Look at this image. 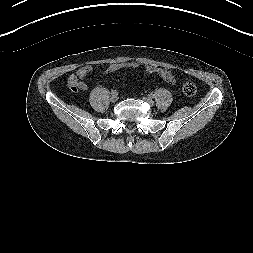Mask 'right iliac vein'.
I'll list each match as a JSON object with an SVG mask.
<instances>
[{
	"instance_id": "obj_1",
	"label": "right iliac vein",
	"mask_w": 253,
	"mask_h": 253,
	"mask_svg": "<svg viewBox=\"0 0 253 253\" xmlns=\"http://www.w3.org/2000/svg\"><path fill=\"white\" fill-rule=\"evenodd\" d=\"M110 100H111L112 102H116V101L118 100V95H117V94L111 95Z\"/></svg>"
}]
</instances>
